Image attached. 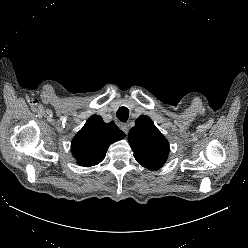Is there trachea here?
Wrapping results in <instances>:
<instances>
[{"label":"trachea","mask_w":248,"mask_h":248,"mask_svg":"<svg viewBox=\"0 0 248 248\" xmlns=\"http://www.w3.org/2000/svg\"><path fill=\"white\" fill-rule=\"evenodd\" d=\"M117 118L122 121V122H126L128 120L129 117V110L127 107H120L116 113Z\"/></svg>","instance_id":"1"}]
</instances>
